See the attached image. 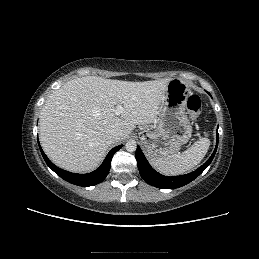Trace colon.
<instances>
[{
    "label": "colon",
    "mask_w": 259,
    "mask_h": 259,
    "mask_svg": "<svg viewBox=\"0 0 259 259\" xmlns=\"http://www.w3.org/2000/svg\"><path fill=\"white\" fill-rule=\"evenodd\" d=\"M186 108L193 120H197L201 113V100L197 95H191L186 101Z\"/></svg>",
    "instance_id": "1"
}]
</instances>
